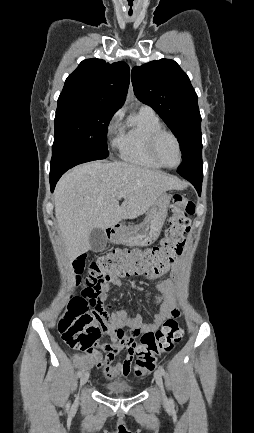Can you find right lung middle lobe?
Listing matches in <instances>:
<instances>
[{"instance_id": "obj_1", "label": "right lung middle lobe", "mask_w": 254, "mask_h": 433, "mask_svg": "<svg viewBox=\"0 0 254 433\" xmlns=\"http://www.w3.org/2000/svg\"><path fill=\"white\" fill-rule=\"evenodd\" d=\"M114 113L92 104L58 106L52 153L71 148L93 160L106 158L107 128Z\"/></svg>"}]
</instances>
